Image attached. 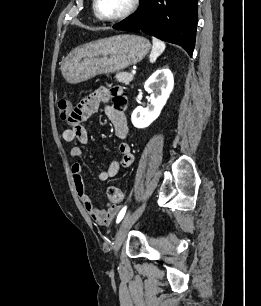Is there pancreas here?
<instances>
[{"label": "pancreas", "instance_id": "obj_1", "mask_svg": "<svg viewBox=\"0 0 261 306\" xmlns=\"http://www.w3.org/2000/svg\"><path fill=\"white\" fill-rule=\"evenodd\" d=\"M116 79L125 85H129V83L134 79V75L128 72H119L116 74Z\"/></svg>", "mask_w": 261, "mask_h": 306}]
</instances>
